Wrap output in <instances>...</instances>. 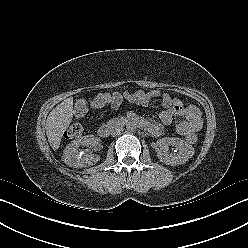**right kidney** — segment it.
<instances>
[{"label": "right kidney", "instance_id": "1", "mask_svg": "<svg viewBox=\"0 0 248 248\" xmlns=\"http://www.w3.org/2000/svg\"><path fill=\"white\" fill-rule=\"evenodd\" d=\"M94 140L93 135H87L71 141L63 152L64 163L73 168H82L96 164L100 160L98 155L88 153L81 156L78 152L80 146H93Z\"/></svg>", "mask_w": 248, "mask_h": 248}]
</instances>
